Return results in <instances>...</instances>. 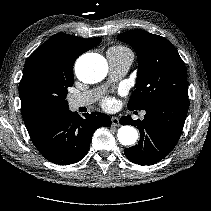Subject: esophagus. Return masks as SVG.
Segmentation results:
<instances>
[{
	"label": "esophagus",
	"instance_id": "34e87169",
	"mask_svg": "<svg viewBox=\"0 0 211 211\" xmlns=\"http://www.w3.org/2000/svg\"><path fill=\"white\" fill-rule=\"evenodd\" d=\"M111 121H112L113 126H116V127L120 126V122H119V119L117 117H112Z\"/></svg>",
	"mask_w": 211,
	"mask_h": 211
}]
</instances>
